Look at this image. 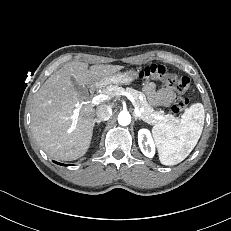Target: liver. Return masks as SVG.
Wrapping results in <instances>:
<instances>
[{"label":"liver","instance_id":"6515ba94","mask_svg":"<svg viewBox=\"0 0 231 231\" xmlns=\"http://www.w3.org/2000/svg\"><path fill=\"white\" fill-rule=\"evenodd\" d=\"M120 65H92L73 61L54 72L35 94L31 108L33 135L39 146L51 157L72 161L88 150L96 115L93 104L85 102L71 81L85 87L119 70ZM79 109L74 130L71 117Z\"/></svg>","mask_w":231,"mask_h":231}]
</instances>
